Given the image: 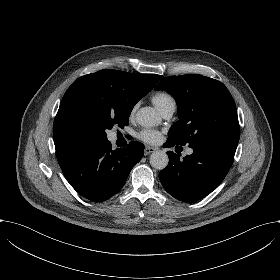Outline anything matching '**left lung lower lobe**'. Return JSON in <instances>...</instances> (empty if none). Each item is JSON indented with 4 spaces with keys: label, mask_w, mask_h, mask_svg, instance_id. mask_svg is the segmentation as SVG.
Segmentation results:
<instances>
[{
    "label": "left lung lower lobe",
    "mask_w": 280,
    "mask_h": 280,
    "mask_svg": "<svg viewBox=\"0 0 280 280\" xmlns=\"http://www.w3.org/2000/svg\"><path fill=\"white\" fill-rule=\"evenodd\" d=\"M165 144L180 145L170 138ZM189 147L193 153L183 159L167 152L169 164L159 173L164 189L183 202L200 200L220 185L233 163L237 145L208 143Z\"/></svg>",
    "instance_id": "1"
}]
</instances>
